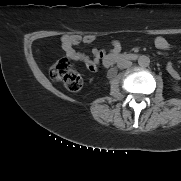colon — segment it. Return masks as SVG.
Here are the masks:
<instances>
[{
  "label": "colon",
  "instance_id": "obj_1",
  "mask_svg": "<svg viewBox=\"0 0 181 181\" xmlns=\"http://www.w3.org/2000/svg\"><path fill=\"white\" fill-rule=\"evenodd\" d=\"M50 77L64 85L69 91H78L82 87V78L73 68L71 62L66 59H59L49 69Z\"/></svg>",
  "mask_w": 181,
  "mask_h": 181
}]
</instances>
